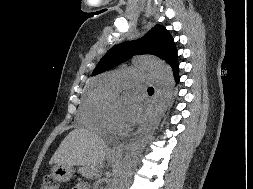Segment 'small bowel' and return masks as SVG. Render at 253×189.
Instances as JSON below:
<instances>
[{
  "mask_svg": "<svg viewBox=\"0 0 253 189\" xmlns=\"http://www.w3.org/2000/svg\"><path fill=\"white\" fill-rule=\"evenodd\" d=\"M73 189H87L85 184H77Z\"/></svg>",
  "mask_w": 253,
  "mask_h": 189,
  "instance_id": "obj_1",
  "label": "small bowel"
}]
</instances>
